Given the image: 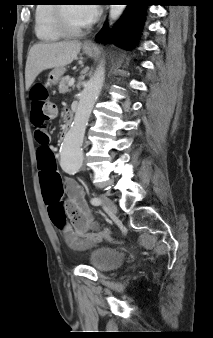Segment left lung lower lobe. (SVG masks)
Returning <instances> with one entry per match:
<instances>
[{
  "label": "left lung lower lobe",
  "mask_w": 213,
  "mask_h": 338,
  "mask_svg": "<svg viewBox=\"0 0 213 338\" xmlns=\"http://www.w3.org/2000/svg\"><path fill=\"white\" fill-rule=\"evenodd\" d=\"M117 2L126 3L127 8L114 29L109 32L105 24L97 39L104 43L113 42L124 49H131L143 28L146 7L150 0H117Z\"/></svg>",
  "instance_id": "left-lung-lower-lobe-1"
}]
</instances>
